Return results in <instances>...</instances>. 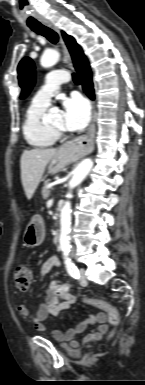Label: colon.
Returning a JSON list of instances; mask_svg holds the SVG:
<instances>
[{
    "label": "colon",
    "mask_w": 145,
    "mask_h": 385,
    "mask_svg": "<svg viewBox=\"0 0 145 385\" xmlns=\"http://www.w3.org/2000/svg\"><path fill=\"white\" fill-rule=\"evenodd\" d=\"M14 280H15V285H16L17 289H19L21 291L27 290V288L29 287L31 280H32L31 270L28 267L23 266V265L17 266L15 268V271H14ZM56 290L59 293H62L64 291L63 285L57 284ZM85 302H86V304H88L90 306H94V307H97V308L103 310L107 315V319H108L109 324L113 328L118 327V325L120 323V314L114 306H112L111 304H109L107 302L100 301V300H93V299L86 300ZM112 334L113 333H111V335Z\"/></svg>",
    "instance_id": "obj_1"
}]
</instances>
